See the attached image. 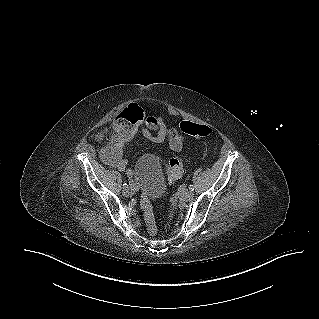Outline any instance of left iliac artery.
<instances>
[{"label":"left iliac artery","mask_w":319,"mask_h":319,"mask_svg":"<svg viewBox=\"0 0 319 319\" xmlns=\"http://www.w3.org/2000/svg\"><path fill=\"white\" fill-rule=\"evenodd\" d=\"M189 189H190L191 191H193V190H194V186H193V185H189Z\"/></svg>","instance_id":"left-iliac-artery-1"}]
</instances>
